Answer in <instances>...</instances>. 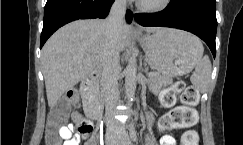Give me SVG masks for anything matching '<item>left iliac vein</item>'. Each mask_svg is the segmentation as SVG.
<instances>
[{
	"label": "left iliac vein",
	"mask_w": 243,
	"mask_h": 145,
	"mask_svg": "<svg viewBox=\"0 0 243 145\" xmlns=\"http://www.w3.org/2000/svg\"><path fill=\"white\" fill-rule=\"evenodd\" d=\"M116 145H131V141H130L129 136L127 135L125 130L117 138Z\"/></svg>",
	"instance_id": "1"
}]
</instances>
